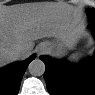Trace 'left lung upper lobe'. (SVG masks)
I'll list each match as a JSON object with an SVG mask.
<instances>
[{"mask_svg": "<svg viewBox=\"0 0 95 95\" xmlns=\"http://www.w3.org/2000/svg\"><path fill=\"white\" fill-rule=\"evenodd\" d=\"M88 14L91 17V15H95V9H89Z\"/></svg>", "mask_w": 95, "mask_h": 95, "instance_id": "obj_1", "label": "left lung upper lobe"}]
</instances>
